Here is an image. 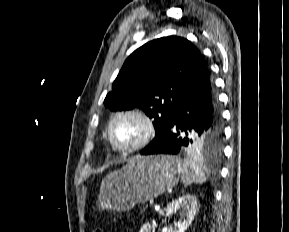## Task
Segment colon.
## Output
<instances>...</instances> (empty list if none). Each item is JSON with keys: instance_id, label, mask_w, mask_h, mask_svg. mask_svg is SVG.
<instances>
[{"instance_id": "obj_1", "label": "colon", "mask_w": 289, "mask_h": 232, "mask_svg": "<svg viewBox=\"0 0 289 232\" xmlns=\"http://www.w3.org/2000/svg\"><path fill=\"white\" fill-rule=\"evenodd\" d=\"M94 232H103L102 230H100V229H97V230H95Z\"/></svg>"}]
</instances>
